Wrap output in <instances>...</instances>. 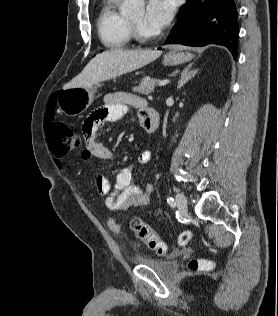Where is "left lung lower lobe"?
Wrapping results in <instances>:
<instances>
[{
    "instance_id": "obj_1",
    "label": "left lung lower lobe",
    "mask_w": 278,
    "mask_h": 316,
    "mask_svg": "<svg viewBox=\"0 0 278 316\" xmlns=\"http://www.w3.org/2000/svg\"><path fill=\"white\" fill-rule=\"evenodd\" d=\"M238 42L237 9L234 0H186L168 44L226 46L236 58Z\"/></svg>"
}]
</instances>
